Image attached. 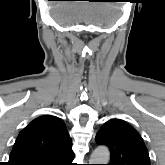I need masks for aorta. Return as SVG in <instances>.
I'll return each instance as SVG.
<instances>
[{
	"label": "aorta",
	"mask_w": 165,
	"mask_h": 165,
	"mask_svg": "<svg viewBox=\"0 0 165 165\" xmlns=\"http://www.w3.org/2000/svg\"><path fill=\"white\" fill-rule=\"evenodd\" d=\"M109 160V149L105 146H99L93 151L90 157V164H108Z\"/></svg>",
	"instance_id": "aorta-1"
}]
</instances>
